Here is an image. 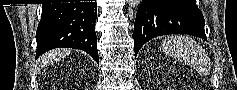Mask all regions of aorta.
I'll use <instances>...</instances> for the list:
<instances>
[{
	"instance_id": "1",
	"label": "aorta",
	"mask_w": 237,
	"mask_h": 90,
	"mask_svg": "<svg viewBox=\"0 0 237 90\" xmlns=\"http://www.w3.org/2000/svg\"><path fill=\"white\" fill-rule=\"evenodd\" d=\"M142 0H129V8H138L140 6Z\"/></svg>"
}]
</instances>
